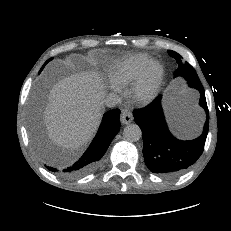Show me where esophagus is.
<instances>
[{
    "label": "esophagus",
    "mask_w": 231,
    "mask_h": 231,
    "mask_svg": "<svg viewBox=\"0 0 231 231\" xmlns=\"http://www.w3.org/2000/svg\"><path fill=\"white\" fill-rule=\"evenodd\" d=\"M120 121L124 125L131 123L133 121L132 113L127 109H123L121 113Z\"/></svg>",
    "instance_id": "esophagus-1"
}]
</instances>
